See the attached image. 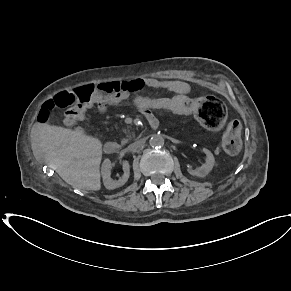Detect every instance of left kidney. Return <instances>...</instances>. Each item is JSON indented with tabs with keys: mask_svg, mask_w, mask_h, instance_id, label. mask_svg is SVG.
<instances>
[{
	"mask_svg": "<svg viewBox=\"0 0 291 291\" xmlns=\"http://www.w3.org/2000/svg\"><path fill=\"white\" fill-rule=\"evenodd\" d=\"M203 152L206 154V162L202 164V166L196 168V169H188V172L197 177H205L209 174V172L212 170L214 164H215V158L211 151H209L206 148H203Z\"/></svg>",
	"mask_w": 291,
	"mask_h": 291,
	"instance_id": "obj_1",
	"label": "left kidney"
}]
</instances>
